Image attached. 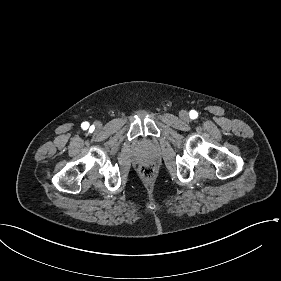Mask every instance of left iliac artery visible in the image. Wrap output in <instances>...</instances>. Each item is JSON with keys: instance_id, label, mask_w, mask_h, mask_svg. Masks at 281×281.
I'll return each instance as SVG.
<instances>
[{"instance_id": "obj_1", "label": "left iliac artery", "mask_w": 281, "mask_h": 281, "mask_svg": "<svg viewBox=\"0 0 281 281\" xmlns=\"http://www.w3.org/2000/svg\"><path fill=\"white\" fill-rule=\"evenodd\" d=\"M197 116H198V113L195 110L190 111V118L191 119H195V118H197Z\"/></svg>"}]
</instances>
